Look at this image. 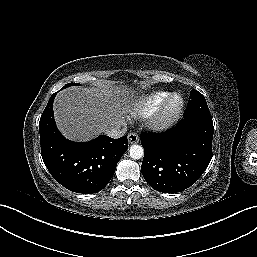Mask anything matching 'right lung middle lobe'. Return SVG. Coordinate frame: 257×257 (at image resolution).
Masks as SVG:
<instances>
[{
  "instance_id": "dd1d6c3e",
  "label": "right lung middle lobe",
  "mask_w": 257,
  "mask_h": 257,
  "mask_svg": "<svg viewBox=\"0 0 257 257\" xmlns=\"http://www.w3.org/2000/svg\"><path fill=\"white\" fill-rule=\"evenodd\" d=\"M71 85H79V84H78V83H68V84H66L62 89L66 88V87H68V86H71Z\"/></svg>"
}]
</instances>
